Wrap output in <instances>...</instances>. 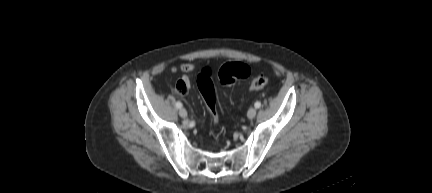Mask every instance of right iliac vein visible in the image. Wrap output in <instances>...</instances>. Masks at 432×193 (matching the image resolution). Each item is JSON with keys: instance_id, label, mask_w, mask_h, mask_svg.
Instances as JSON below:
<instances>
[{"instance_id": "right-iliac-vein-1", "label": "right iliac vein", "mask_w": 432, "mask_h": 193, "mask_svg": "<svg viewBox=\"0 0 432 193\" xmlns=\"http://www.w3.org/2000/svg\"><path fill=\"white\" fill-rule=\"evenodd\" d=\"M179 115H180L182 118H186V117H187V111H186V109H184V108H180V110H179Z\"/></svg>"}]
</instances>
